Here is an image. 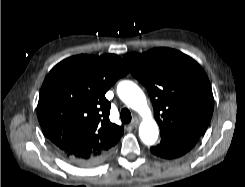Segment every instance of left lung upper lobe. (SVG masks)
<instances>
[{
  "mask_svg": "<svg viewBox=\"0 0 245 187\" xmlns=\"http://www.w3.org/2000/svg\"><path fill=\"white\" fill-rule=\"evenodd\" d=\"M151 97L161 136H202L212 117L209 79L191 57L169 48L124 56Z\"/></svg>",
  "mask_w": 245,
  "mask_h": 187,
  "instance_id": "obj_1",
  "label": "left lung upper lobe"
}]
</instances>
